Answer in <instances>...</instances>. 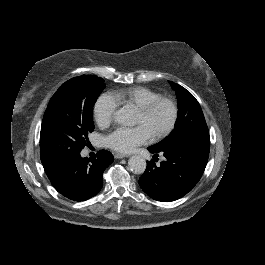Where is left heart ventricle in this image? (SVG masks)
<instances>
[{
    "label": "left heart ventricle",
    "mask_w": 265,
    "mask_h": 265,
    "mask_svg": "<svg viewBox=\"0 0 265 265\" xmlns=\"http://www.w3.org/2000/svg\"><path fill=\"white\" fill-rule=\"evenodd\" d=\"M170 115L169 107L165 104H159L148 116H143L137 112L135 124L144 125L153 136L167 125Z\"/></svg>",
    "instance_id": "1"
}]
</instances>
